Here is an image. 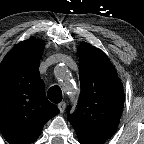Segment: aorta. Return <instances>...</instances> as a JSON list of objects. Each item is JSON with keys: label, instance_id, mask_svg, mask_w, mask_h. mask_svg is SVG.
<instances>
[{"label": "aorta", "instance_id": "762f6f07", "mask_svg": "<svg viewBox=\"0 0 144 144\" xmlns=\"http://www.w3.org/2000/svg\"><path fill=\"white\" fill-rule=\"evenodd\" d=\"M54 73L58 78H64L67 75V69L65 66H56Z\"/></svg>", "mask_w": 144, "mask_h": 144}]
</instances>
